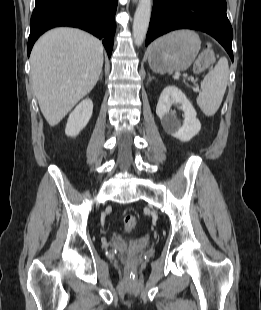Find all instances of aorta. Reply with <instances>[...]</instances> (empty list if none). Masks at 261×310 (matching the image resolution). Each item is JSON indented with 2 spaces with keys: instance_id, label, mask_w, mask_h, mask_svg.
Wrapping results in <instances>:
<instances>
[{
  "instance_id": "1",
  "label": "aorta",
  "mask_w": 261,
  "mask_h": 310,
  "mask_svg": "<svg viewBox=\"0 0 261 310\" xmlns=\"http://www.w3.org/2000/svg\"><path fill=\"white\" fill-rule=\"evenodd\" d=\"M152 0H139L134 21L133 38L136 46H141L145 40L150 22Z\"/></svg>"
}]
</instances>
